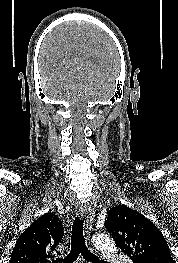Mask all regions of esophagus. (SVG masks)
I'll return each instance as SVG.
<instances>
[{
  "instance_id": "esophagus-1",
  "label": "esophagus",
  "mask_w": 178,
  "mask_h": 263,
  "mask_svg": "<svg viewBox=\"0 0 178 263\" xmlns=\"http://www.w3.org/2000/svg\"><path fill=\"white\" fill-rule=\"evenodd\" d=\"M94 213L88 203L83 204L80 207V217L86 218V225H90L93 221Z\"/></svg>"
}]
</instances>
